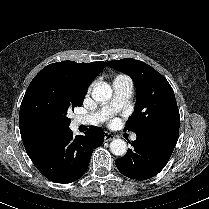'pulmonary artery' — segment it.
<instances>
[{"label": "pulmonary artery", "mask_w": 209, "mask_h": 209, "mask_svg": "<svg viewBox=\"0 0 209 209\" xmlns=\"http://www.w3.org/2000/svg\"><path fill=\"white\" fill-rule=\"evenodd\" d=\"M113 91V99L109 105L90 115L77 117L76 123L79 125H95L105 120L113 112L121 109L132 95V84L130 80L115 81L113 83ZM136 138V135L131 136V140H136Z\"/></svg>", "instance_id": "obj_1"}]
</instances>
